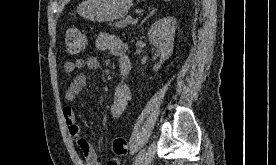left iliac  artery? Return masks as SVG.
Masks as SVG:
<instances>
[{
	"label": "left iliac artery",
	"mask_w": 276,
	"mask_h": 165,
	"mask_svg": "<svg viewBox=\"0 0 276 165\" xmlns=\"http://www.w3.org/2000/svg\"><path fill=\"white\" fill-rule=\"evenodd\" d=\"M144 154H145V149L141 150L138 155L136 156L134 162L132 165H138L139 162L143 159L144 157Z\"/></svg>",
	"instance_id": "left-iliac-artery-1"
}]
</instances>
